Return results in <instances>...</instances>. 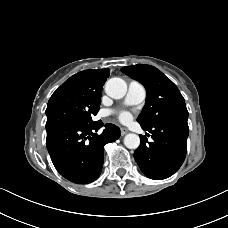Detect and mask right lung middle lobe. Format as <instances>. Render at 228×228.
Segmentation results:
<instances>
[{"label": "right lung middle lobe", "mask_w": 228, "mask_h": 228, "mask_svg": "<svg viewBox=\"0 0 228 228\" xmlns=\"http://www.w3.org/2000/svg\"><path fill=\"white\" fill-rule=\"evenodd\" d=\"M101 94L84 92L64 82L48 101L46 131L71 124H93L92 116L100 109Z\"/></svg>", "instance_id": "1"}]
</instances>
